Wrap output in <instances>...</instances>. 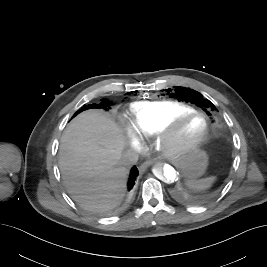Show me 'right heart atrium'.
Here are the masks:
<instances>
[{"label":"right heart atrium","instance_id":"obj_1","mask_svg":"<svg viewBox=\"0 0 267 267\" xmlns=\"http://www.w3.org/2000/svg\"><path fill=\"white\" fill-rule=\"evenodd\" d=\"M133 147H134V148H138V147H139V143H138V142H134V143H133Z\"/></svg>","mask_w":267,"mask_h":267}]
</instances>
